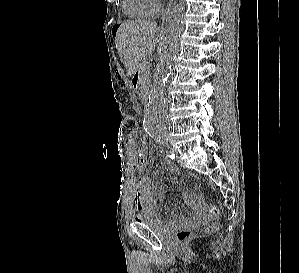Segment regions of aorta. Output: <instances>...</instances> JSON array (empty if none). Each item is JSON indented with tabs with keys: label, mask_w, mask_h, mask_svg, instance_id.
Listing matches in <instances>:
<instances>
[{
	"label": "aorta",
	"mask_w": 299,
	"mask_h": 273,
	"mask_svg": "<svg viewBox=\"0 0 299 273\" xmlns=\"http://www.w3.org/2000/svg\"><path fill=\"white\" fill-rule=\"evenodd\" d=\"M182 8L177 6L166 26L159 52L154 81L144 113V128L148 135L163 140L168 134L169 120L165 109V85L171 64L178 52L179 37L182 32Z\"/></svg>",
	"instance_id": "obj_1"
}]
</instances>
